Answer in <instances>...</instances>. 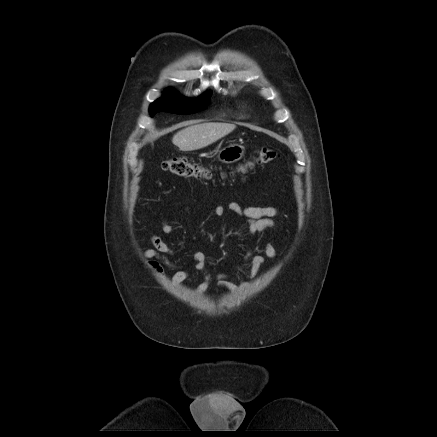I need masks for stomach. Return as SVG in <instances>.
Instances as JSON below:
<instances>
[{"instance_id":"obj_1","label":"stomach","mask_w":437,"mask_h":437,"mask_svg":"<svg viewBox=\"0 0 437 437\" xmlns=\"http://www.w3.org/2000/svg\"><path fill=\"white\" fill-rule=\"evenodd\" d=\"M244 155V147L238 144H231L218 153V160L230 164L240 160Z\"/></svg>"}]
</instances>
